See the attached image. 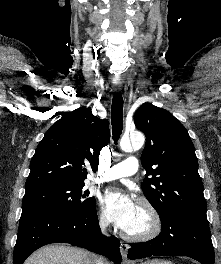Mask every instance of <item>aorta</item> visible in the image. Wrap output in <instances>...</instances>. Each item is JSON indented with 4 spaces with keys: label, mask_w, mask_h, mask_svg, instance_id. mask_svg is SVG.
<instances>
[{
    "label": "aorta",
    "mask_w": 221,
    "mask_h": 264,
    "mask_svg": "<svg viewBox=\"0 0 221 264\" xmlns=\"http://www.w3.org/2000/svg\"><path fill=\"white\" fill-rule=\"evenodd\" d=\"M145 142V138L141 133H133L131 135V140L124 137L121 139L120 147L125 152H130L133 149H140Z\"/></svg>",
    "instance_id": "1"
}]
</instances>
